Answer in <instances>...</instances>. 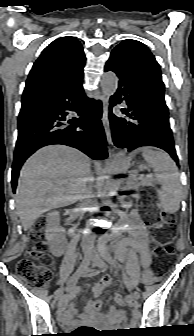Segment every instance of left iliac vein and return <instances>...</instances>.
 Wrapping results in <instances>:
<instances>
[{"instance_id":"obj_1","label":"left iliac vein","mask_w":194,"mask_h":336,"mask_svg":"<svg viewBox=\"0 0 194 336\" xmlns=\"http://www.w3.org/2000/svg\"><path fill=\"white\" fill-rule=\"evenodd\" d=\"M104 260H105V262H106L107 264H110V265H114V264H115V261H114V260L112 259V257L109 256V255H105V256H104ZM93 261H94L96 264L101 265V266L104 267L105 269L107 268V264H104V263L99 262L97 258L93 259ZM133 296H134V298H135L136 300L140 298V294H139L137 291H134V292H133Z\"/></svg>"}]
</instances>
